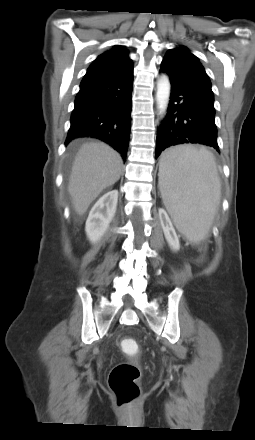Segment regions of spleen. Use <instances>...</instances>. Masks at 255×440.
I'll return each instance as SVG.
<instances>
[{
  "instance_id": "3e777b00",
  "label": "spleen",
  "mask_w": 255,
  "mask_h": 440,
  "mask_svg": "<svg viewBox=\"0 0 255 440\" xmlns=\"http://www.w3.org/2000/svg\"><path fill=\"white\" fill-rule=\"evenodd\" d=\"M159 186L177 229L192 242L203 240L212 226L221 195L213 154L191 146L169 149L161 158Z\"/></svg>"
}]
</instances>
